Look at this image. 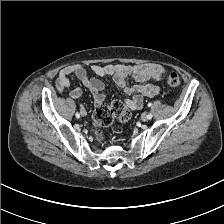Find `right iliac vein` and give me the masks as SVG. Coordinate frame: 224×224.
Masks as SVG:
<instances>
[{
    "mask_svg": "<svg viewBox=\"0 0 224 224\" xmlns=\"http://www.w3.org/2000/svg\"><path fill=\"white\" fill-rule=\"evenodd\" d=\"M81 115H82V116H86V111H85V109H83V108L81 109Z\"/></svg>",
    "mask_w": 224,
    "mask_h": 224,
    "instance_id": "1",
    "label": "right iliac vein"
}]
</instances>
